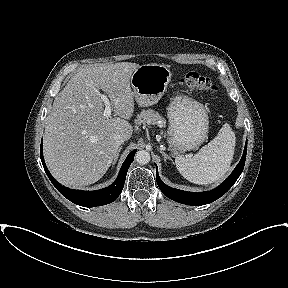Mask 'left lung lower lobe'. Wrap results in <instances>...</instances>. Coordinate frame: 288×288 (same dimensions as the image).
<instances>
[{"mask_svg":"<svg viewBox=\"0 0 288 288\" xmlns=\"http://www.w3.org/2000/svg\"><path fill=\"white\" fill-rule=\"evenodd\" d=\"M246 153H247V140L244 148L243 156L236 166V168L233 170V172L230 174V176L217 188L208 191V192H201V193H193V192H187L178 190L175 188H171L167 185H165L159 175H158V168L156 167V180L157 184L162 191L164 195H166L168 198L177 201L182 204L191 205V206H201L205 204H209L221 196H223L237 181L239 176L241 175L245 160H246Z\"/></svg>","mask_w":288,"mask_h":288,"instance_id":"obj_1","label":"left lung lower lobe"}]
</instances>
